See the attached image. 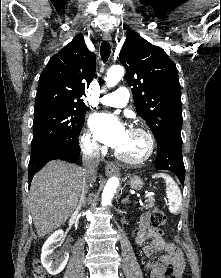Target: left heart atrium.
<instances>
[{
    "instance_id": "obj_1",
    "label": "left heart atrium",
    "mask_w": 221,
    "mask_h": 278,
    "mask_svg": "<svg viewBox=\"0 0 221 278\" xmlns=\"http://www.w3.org/2000/svg\"><path fill=\"white\" fill-rule=\"evenodd\" d=\"M97 138L112 148H120L126 141L128 131L118 119L108 113L95 114L90 121Z\"/></svg>"
}]
</instances>
